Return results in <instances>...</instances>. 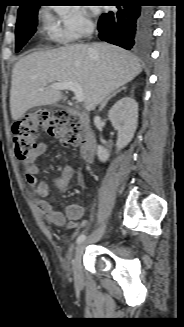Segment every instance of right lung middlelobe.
Returning a JSON list of instances; mask_svg holds the SVG:
<instances>
[{
    "instance_id": "dd1d6c3e",
    "label": "right lung middle lobe",
    "mask_w": 184,
    "mask_h": 327,
    "mask_svg": "<svg viewBox=\"0 0 184 327\" xmlns=\"http://www.w3.org/2000/svg\"><path fill=\"white\" fill-rule=\"evenodd\" d=\"M39 6L18 11L15 27V52H18L36 32Z\"/></svg>"
}]
</instances>
